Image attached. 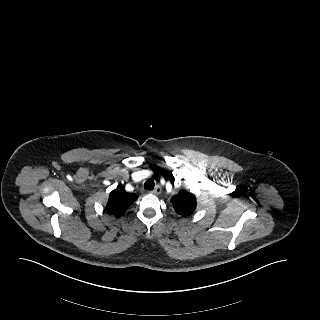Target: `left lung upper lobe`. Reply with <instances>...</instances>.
<instances>
[{
    "label": "left lung upper lobe",
    "instance_id": "1",
    "mask_svg": "<svg viewBox=\"0 0 320 320\" xmlns=\"http://www.w3.org/2000/svg\"><path fill=\"white\" fill-rule=\"evenodd\" d=\"M171 202L177 214L183 217L190 216L196 209V197L194 194L181 190L171 198Z\"/></svg>",
    "mask_w": 320,
    "mask_h": 320
}]
</instances>
